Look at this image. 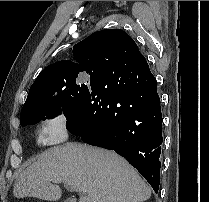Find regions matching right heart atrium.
<instances>
[{
    "instance_id": "right-heart-atrium-1",
    "label": "right heart atrium",
    "mask_w": 209,
    "mask_h": 202,
    "mask_svg": "<svg viewBox=\"0 0 209 202\" xmlns=\"http://www.w3.org/2000/svg\"><path fill=\"white\" fill-rule=\"evenodd\" d=\"M35 136L38 143L43 146L62 144L69 137L67 119L61 115H47L41 118Z\"/></svg>"
}]
</instances>
